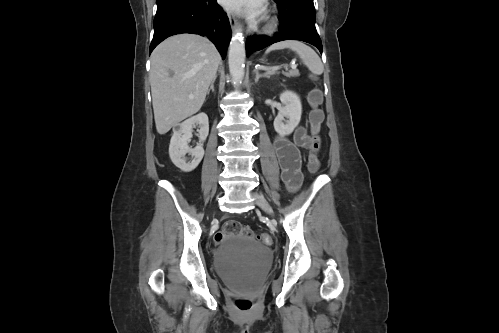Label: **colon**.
<instances>
[{"label": "colon", "instance_id": "1", "mask_svg": "<svg viewBox=\"0 0 499 333\" xmlns=\"http://www.w3.org/2000/svg\"><path fill=\"white\" fill-rule=\"evenodd\" d=\"M308 101L312 107L309 114V123L312 133V144L307 160V167L311 173H316L320 168L318 152L320 149L321 139L320 130L324 120V113L320 108L323 101V95L320 89L314 88L309 92ZM229 236H246L257 239L265 244L270 245L272 238L267 233L259 235L254 234L250 226L241 224L237 221L227 222L222 230L216 233L214 237L215 244L219 245L224 242ZM254 300L250 297H236L234 299L235 307L241 312H248L254 307Z\"/></svg>", "mask_w": 499, "mask_h": 333}]
</instances>
